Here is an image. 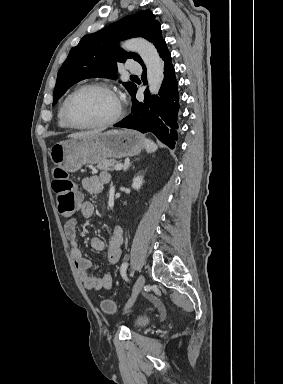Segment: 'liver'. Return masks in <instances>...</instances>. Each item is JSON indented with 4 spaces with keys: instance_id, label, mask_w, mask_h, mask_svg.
I'll use <instances>...</instances> for the list:
<instances>
[{
    "instance_id": "6515ba94",
    "label": "liver",
    "mask_w": 283,
    "mask_h": 384,
    "mask_svg": "<svg viewBox=\"0 0 283 384\" xmlns=\"http://www.w3.org/2000/svg\"><path fill=\"white\" fill-rule=\"evenodd\" d=\"M101 130H90V132H76V134H69L68 138H83V136H94L100 134Z\"/></svg>"
}]
</instances>
